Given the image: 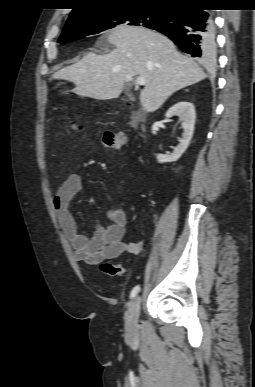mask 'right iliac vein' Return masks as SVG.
I'll return each instance as SVG.
<instances>
[{"label": "right iliac vein", "instance_id": "obj_1", "mask_svg": "<svg viewBox=\"0 0 255 387\" xmlns=\"http://www.w3.org/2000/svg\"><path fill=\"white\" fill-rule=\"evenodd\" d=\"M141 297L137 295L131 302L128 311L125 313V329L129 337L137 332V323L140 313Z\"/></svg>", "mask_w": 255, "mask_h": 387}]
</instances>
